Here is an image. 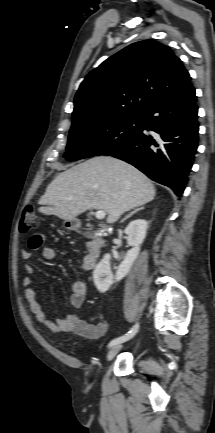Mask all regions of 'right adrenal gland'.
Segmentation results:
<instances>
[{
	"mask_svg": "<svg viewBox=\"0 0 215 433\" xmlns=\"http://www.w3.org/2000/svg\"><path fill=\"white\" fill-rule=\"evenodd\" d=\"M143 209H144V207L135 209L134 211H132L131 213H129L125 218H123L120 222L121 223L124 222L126 219L130 218L133 214H135L136 212H138L140 210H143Z\"/></svg>",
	"mask_w": 215,
	"mask_h": 433,
	"instance_id": "2a0ac1e0",
	"label": "right adrenal gland"
}]
</instances>
